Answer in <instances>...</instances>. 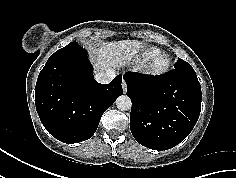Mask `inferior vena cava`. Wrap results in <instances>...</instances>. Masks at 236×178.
<instances>
[{
	"label": "inferior vena cava",
	"mask_w": 236,
	"mask_h": 178,
	"mask_svg": "<svg viewBox=\"0 0 236 178\" xmlns=\"http://www.w3.org/2000/svg\"><path fill=\"white\" fill-rule=\"evenodd\" d=\"M115 71L114 70H107L106 72H99L94 77L95 80L101 84H108L115 78Z\"/></svg>",
	"instance_id": "inferior-vena-cava-1"
}]
</instances>
